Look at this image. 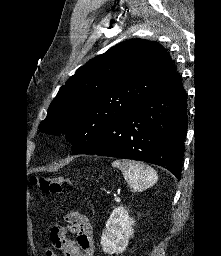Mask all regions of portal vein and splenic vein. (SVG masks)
Listing matches in <instances>:
<instances>
[{
  "instance_id": "portal-vein-and-splenic-vein-1",
  "label": "portal vein and splenic vein",
  "mask_w": 221,
  "mask_h": 256,
  "mask_svg": "<svg viewBox=\"0 0 221 256\" xmlns=\"http://www.w3.org/2000/svg\"><path fill=\"white\" fill-rule=\"evenodd\" d=\"M115 201L120 202V198L115 196Z\"/></svg>"
}]
</instances>
